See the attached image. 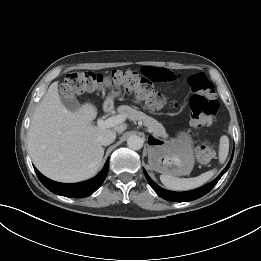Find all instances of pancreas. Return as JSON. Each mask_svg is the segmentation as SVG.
<instances>
[{"label":"pancreas","mask_w":261,"mask_h":261,"mask_svg":"<svg viewBox=\"0 0 261 261\" xmlns=\"http://www.w3.org/2000/svg\"><path fill=\"white\" fill-rule=\"evenodd\" d=\"M117 110L120 114L126 115L132 121H143V124L151 131H153L155 135H164V127L160 123H158V121L150 116H147L143 112L137 111L136 109H133L126 105L120 106Z\"/></svg>","instance_id":"1"}]
</instances>
